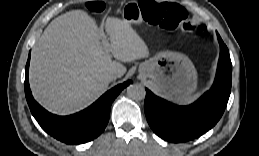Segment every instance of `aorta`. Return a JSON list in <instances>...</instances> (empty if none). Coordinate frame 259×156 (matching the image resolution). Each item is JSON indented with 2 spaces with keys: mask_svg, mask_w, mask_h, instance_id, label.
Here are the masks:
<instances>
[{
  "mask_svg": "<svg viewBox=\"0 0 259 156\" xmlns=\"http://www.w3.org/2000/svg\"><path fill=\"white\" fill-rule=\"evenodd\" d=\"M127 94L133 100L140 101L145 98L146 91L143 85L134 83L127 87Z\"/></svg>",
  "mask_w": 259,
  "mask_h": 156,
  "instance_id": "obj_1",
  "label": "aorta"
}]
</instances>
